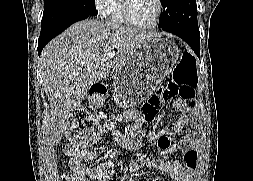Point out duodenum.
I'll return each instance as SVG.
<instances>
[{
	"instance_id": "duodenum-1",
	"label": "duodenum",
	"mask_w": 253,
	"mask_h": 181,
	"mask_svg": "<svg viewBox=\"0 0 253 181\" xmlns=\"http://www.w3.org/2000/svg\"><path fill=\"white\" fill-rule=\"evenodd\" d=\"M106 93V88L103 85H94L89 90V96L92 100L99 101Z\"/></svg>"
}]
</instances>
